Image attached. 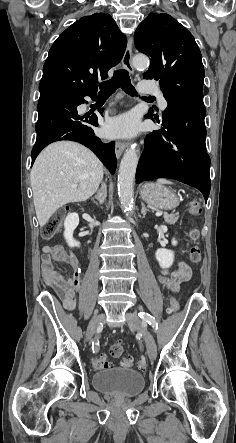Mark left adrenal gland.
Instances as JSON below:
<instances>
[{"mask_svg": "<svg viewBox=\"0 0 236 443\" xmlns=\"http://www.w3.org/2000/svg\"><path fill=\"white\" fill-rule=\"evenodd\" d=\"M149 210L145 207V205L142 203V209H141V214L143 215V216H145L146 215V213L148 212Z\"/></svg>", "mask_w": 236, "mask_h": 443, "instance_id": "obj_1", "label": "left adrenal gland"}]
</instances>
